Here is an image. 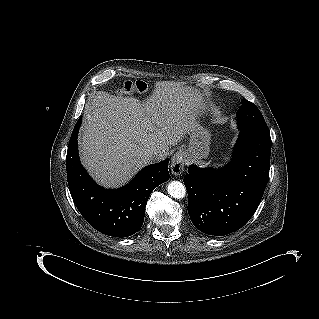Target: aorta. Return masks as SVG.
Instances as JSON below:
<instances>
[{
	"label": "aorta",
	"mask_w": 319,
	"mask_h": 319,
	"mask_svg": "<svg viewBox=\"0 0 319 319\" xmlns=\"http://www.w3.org/2000/svg\"><path fill=\"white\" fill-rule=\"evenodd\" d=\"M168 194L176 199L184 198L186 195L185 186L179 181H171L167 187Z\"/></svg>",
	"instance_id": "obj_1"
}]
</instances>
